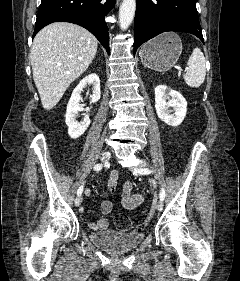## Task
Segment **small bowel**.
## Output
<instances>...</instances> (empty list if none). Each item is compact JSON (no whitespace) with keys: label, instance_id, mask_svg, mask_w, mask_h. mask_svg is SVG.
Here are the masks:
<instances>
[{"label":"small bowel","instance_id":"obj_1","mask_svg":"<svg viewBox=\"0 0 240 281\" xmlns=\"http://www.w3.org/2000/svg\"><path fill=\"white\" fill-rule=\"evenodd\" d=\"M119 173L117 170H113L110 173V177L108 180V188L109 190H113L118 182ZM133 185L130 180H125L122 186V205L127 209H134L138 207L144 200V196L142 194L133 193ZM86 195H91L90 190H86ZM112 210V203L110 201H103L101 204V212L103 214H108ZM84 211L83 208L80 209L82 213ZM89 227L94 231H104L109 228V222L105 218H101L95 222H89Z\"/></svg>","mask_w":240,"mask_h":281}]
</instances>
